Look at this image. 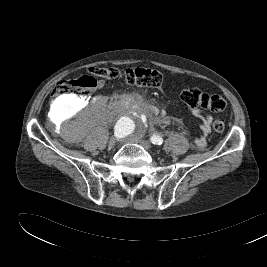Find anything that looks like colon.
<instances>
[{
  "label": "colon",
  "mask_w": 267,
  "mask_h": 267,
  "mask_svg": "<svg viewBox=\"0 0 267 267\" xmlns=\"http://www.w3.org/2000/svg\"><path fill=\"white\" fill-rule=\"evenodd\" d=\"M97 77L106 80L122 79L128 85L137 87H160L165 82L163 73L146 67H131L126 69L93 67L90 73L75 79L61 80L53 88L51 95L54 98L61 96H73L79 99L86 98L97 86ZM181 99L193 109H207L213 112H223L226 100L216 94H208L199 89H185L181 93ZM213 129L222 133L225 129L224 123L215 119Z\"/></svg>",
  "instance_id": "5ec220e1"
}]
</instances>
